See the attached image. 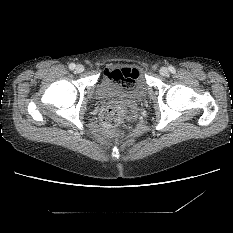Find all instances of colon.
Instances as JSON below:
<instances>
[{
	"mask_svg": "<svg viewBox=\"0 0 233 233\" xmlns=\"http://www.w3.org/2000/svg\"><path fill=\"white\" fill-rule=\"evenodd\" d=\"M114 73L124 88L129 89L133 85V74L129 68H120L115 70ZM128 113L127 104L122 102L103 105L100 112L103 133L113 139L122 138L125 135L124 121Z\"/></svg>",
	"mask_w": 233,
	"mask_h": 233,
	"instance_id": "obj_1",
	"label": "colon"
}]
</instances>
